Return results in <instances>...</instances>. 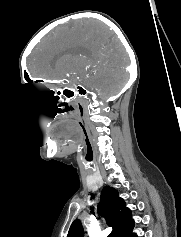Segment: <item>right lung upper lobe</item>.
<instances>
[{
  "label": "right lung upper lobe",
  "mask_w": 181,
  "mask_h": 237,
  "mask_svg": "<svg viewBox=\"0 0 181 237\" xmlns=\"http://www.w3.org/2000/svg\"><path fill=\"white\" fill-rule=\"evenodd\" d=\"M99 213L107 219L108 226L113 230L108 237H131L134 234V220L125 201L119 197L117 190L105 186L101 192ZM67 237H83V227L79 219L70 226Z\"/></svg>",
  "instance_id": "right-lung-upper-lobe-1"
}]
</instances>
